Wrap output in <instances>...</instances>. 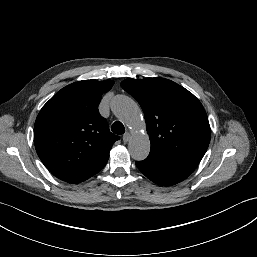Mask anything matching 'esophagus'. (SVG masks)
Segmentation results:
<instances>
[{"mask_svg":"<svg viewBox=\"0 0 257 257\" xmlns=\"http://www.w3.org/2000/svg\"><path fill=\"white\" fill-rule=\"evenodd\" d=\"M130 139V134L128 132H126L124 135H123V141L124 142H128Z\"/></svg>","mask_w":257,"mask_h":257,"instance_id":"esophagus-1","label":"esophagus"}]
</instances>
